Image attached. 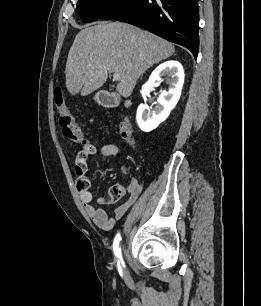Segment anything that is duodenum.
<instances>
[{"label":"duodenum","mask_w":261,"mask_h":306,"mask_svg":"<svg viewBox=\"0 0 261 306\" xmlns=\"http://www.w3.org/2000/svg\"><path fill=\"white\" fill-rule=\"evenodd\" d=\"M101 104L105 107H115L119 104L120 99L117 95L109 92H103L100 96Z\"/></svg>","instance_id":"obj_1"}]
</instances>
